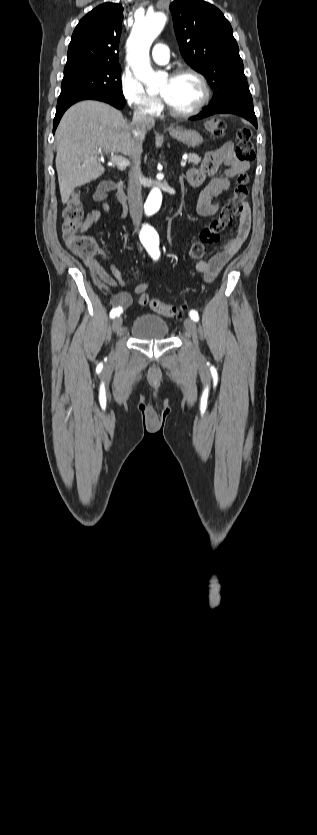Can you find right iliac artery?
<instances>
[{"label":"right iliac artery","instance_id":"right-iliac-artery-1","mask_svg":"<svg viewBox=\"0 0 317 835\" xmlns=\"http://www.w3.org/2000/svg\"><path fill=\"white\" fill-rule=\"evenodd\" d=\"M121 313H122V310L120 308L113 307L111 312H110V317L114 318L116 316H119Z\"/></svg>","mask_w":317,"mask_h":835}]
</instances>
